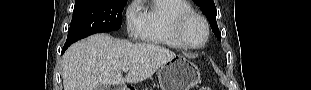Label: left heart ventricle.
<instances>
[{
  "label": "left heart ventricle",
  "instance_id": "left-heart-ventricle-1",
  "mask_svg": "<svg viewBox=\"0 0 311 90\" xmlns=\"http://www.w3.org/2000/svg\"><path fill=\"white\" fill-rule=\"evenodd\" d=\"M185 35L193 44H199L205 36V29L201 21L194 19L185 28Z\"/></svg>",
  "mask_w": 311,
  "mask_h": 90
}]
</instances>
